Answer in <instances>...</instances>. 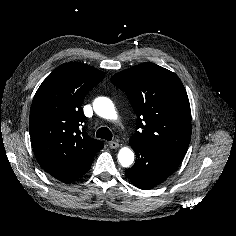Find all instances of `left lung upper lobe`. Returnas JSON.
I'll list each match as a JSON object with an SVG mask.
<instances>
[{
    "label": "left lung upper lobe",
    "mask_w": 236,
    "mask_h": 236,
    "mask_svg": "<svg viewBox=\"0 0 236 236\" xmlns=\"http://www.w3.org/2000/svg\"><path fill=\"white\" fill-rule=\"evenodd\" d=\"M137 115V129L129 142L144 144L183 157L191 139V111L179 77L145 62L112 76Z\"/></svg>",
    "instance_id": "5c2ea615"
}]
</instances>
